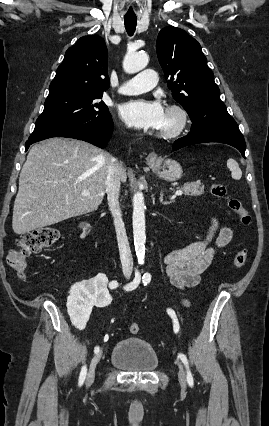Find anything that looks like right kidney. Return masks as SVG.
I'll return each mask as SVG.
<instances>
[{"mask_svg":"<svg viewBox=\"0 0 269 426\" xmlns=\"http://www.w3.org/2000/svg\"><path fill=\"white\" fill-rule=\"evenodd\" d=\"M79 227L83 230L80 238H85L90 231V224L81 222ZM104 273H96L94 279L76 283L70 290L67 299V308L70 315L80 317V324L85 326L92 308L104 311L109 308L113 300L109 292L108 283Z\"/></svg>","mask_w":269,"mask_h":426,"instance_id":"obj_1","label":"right kidney"}]
</instances>
